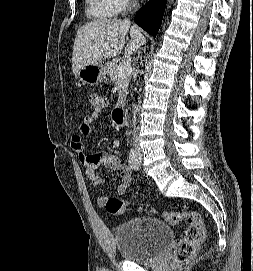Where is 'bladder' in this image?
Listing matches in <instances>:
<instances>
[{
	"mask_svg": "<svg viewBox=\"0 0 253 271\" xmlns=\"http://www.w3.org/2000/svg\"><path fill=\"white\" fill-rule=\"evenodd\" d=\"M172 239V228L156 218H134L119 225L115 231L119 255L137 263L155 261Z\"/></svg>",
	"mask_w": 253,
	"mask_h": 271,
	"instance_id": "1",
	"label": "bladder"
}]
</instances>
